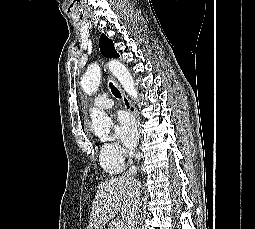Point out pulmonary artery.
Here are the masks:
<instances>
[{"instance_id": "pulmonary-artery-1", "label": "pulmonary artery", "mask_w": 255, "mask_h": 229, "mask_svg": "<svg viewBox=\"0 0 255 229\" xmlns=\"http://www.w3.org/2000/svg\"><path fill=\"white\" fill-rule=\"evenodd\" d=\"M94 106L97 109H109L113 106V101L105 92L96 95L94 99Z\"/></svg>"}]
</instances>
